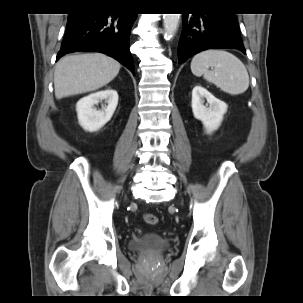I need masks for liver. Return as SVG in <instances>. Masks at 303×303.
Returning <instances> with one entry per match:
<instances>
[{
  "label": "liver",
  "instance_id": "6515ba94",
  "mask_svg": "<svg viewBox=\"0 0 303 303\" xmlns=\"http://www.w3.org/2000/svg\"><path fill=\"white\" fill-rule=\"evenodd\" d=\"M119 70L118 61L101 53L67 55L55 67V97L95 91L112 81Z\"/></svg>",
  "mask_w": 303,
  "mask_h": 303
}]
</instances>
